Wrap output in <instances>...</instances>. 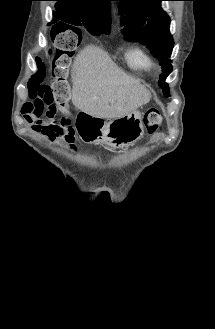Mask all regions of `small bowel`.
I'll return each instance as SVG.
<instances>
[{"mask_svg": "<svg viewBox=\"0 0 215 329\" xmlns=\"http://www.w3.org/2000/svg\"><path fill=\"white\" fill-rule=\"evenodd\" d=\"M27 124L37 133L45 137L51 142L65 141L67 144H71L72 141H68L65 134L62 133L58 127V120L55 115L43 117L37 115H25Z\"/></svg>", "mask_w": 215, "mask_h": 329, "instance_id": "obj_1", "label": "small bowel"}]
</instances>
